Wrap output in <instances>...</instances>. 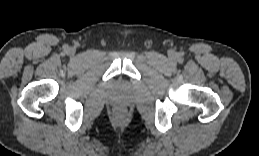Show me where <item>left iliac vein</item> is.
<instances>
[{
	"mask_svg": "<svg viewBox=\"0 0 259 156\" xmlns=\"http://www.w3.org/2000/svg\"><path fill=\"white\" fill-rule=\"evenodd\" d=\"M171 58L174 59V55H171Z\"/></svg>",
	"mask_w": 259,
	"mask_h": 156,
	"instance_id": "obj_1",
	"label": "left iliac vein"
}]
</instances>
